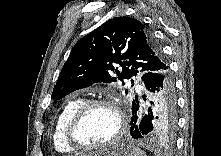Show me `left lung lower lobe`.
<instances>
[{"mask_svg":"<svg viewBox=\"0 0 221 156\" xmlns=\"http://www.w3.org/2000/svg\"><path fill=\"white\" fill-rule=\"evenodd\" d=\"M144 90L132 102L130 135L134 139L171 138L177 124L176 93L169 66L141 76Z\"/></svg>","mask_w":221,"mask_h":156,"instance_id":"obj_1","label":"left lung lower lobe"}]
</instances>
